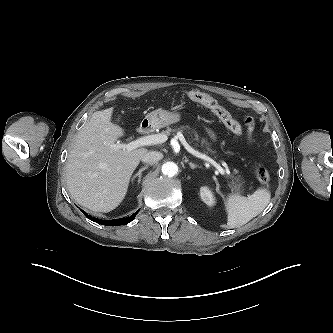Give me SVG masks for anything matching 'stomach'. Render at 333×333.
<instances>
[{"mask_svg":"<svg viewBox=\"0 0 333 333\" xmlns=\"http://www.w3.org/2000/svg\"><path fill=\"white\" fill-rule=\"evenodd\" d=\"M145 120L152 128H163L178 123L181 120V113L157 109L150 112ZM206 132L213 141H217V135L211 129L206 128Z\"/></svg>","mask_w":333,"mask_h":333,"instance_id":"1","label":"stomach"}]
</instances>
